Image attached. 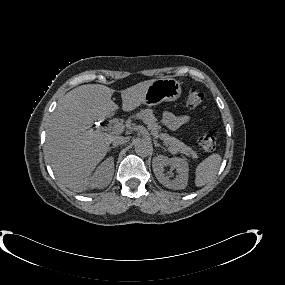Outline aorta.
I'll return each mask as SVG.
<instances>
[{
	"instance_id": "1",
	"label": "aorta",
	"mask_w": 285,
	"mask_h": 285,
	"mask_svg": "<svg viewBox=\"0 0 285 285\" xmlns=\"http://www.w3.org/2000/svg\"><path fill=\"white\" fill-rule=\"evenodd\" d=\"M135 152L140 156H147L152 150V145L148 140L137 139L135 141Z\"/></svg>"
}]
</instances>
